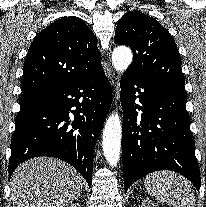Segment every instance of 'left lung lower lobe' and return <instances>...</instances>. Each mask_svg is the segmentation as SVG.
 Segmentation results:
<instances>
[{"label": "left lung lower lobe", "instance_id": "0a47b994", "mask_svg": "<svg viewBox=\"0 0 206 207\" xmlns=\"http://www.w3.org/2000/svg\"><path fill=\"white\" fill-rule=\"evenodd\" d=\"M120 87L125 192L132 183L158 170L182 174L199 191L200 171L185 107L186 92L127 73Z\"/></svg>", "mask_w": 206, "mask_h": 207}]
</instances>
